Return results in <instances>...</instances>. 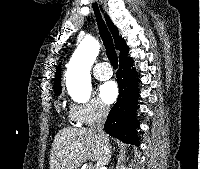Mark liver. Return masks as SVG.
Returning a JSON list of instances; mask_svg holds the SVG:
<instances>
[{"instance_id":"6515ba94","label":"liver","mask_w":200,"mask_h":169,"mask_svg":"<svg viewBox=\"0 0 200 169\" xmlns=\"http://www.w3.org/2000/svg\"><path fill=\"white\" fill-rule=\"evenodd\" d=\"M105 138L108 141L107 136ZM102 138L90 128H63L54 138L50 169H79L87 159L98 161L102 155Z\"/></svg>"}]
</instances>
